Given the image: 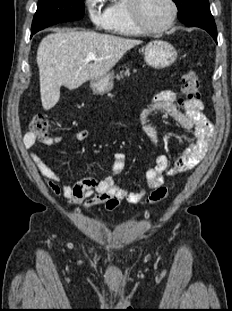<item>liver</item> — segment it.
Segmentation results:
<instances>
[{
	"label": "liver",
	"instance_id": "liver-1",
	"mask_svg": "<svg viewBox=\"0 0 232 311\" xmlns=\"http://www.w3.org/2000/svg\"><path fill=\"white\" fill-rule=\"evenodd\" d=\"M142 41L88 31L62 30L42 39L37 50L40 94L45 110L60 98L61 86L73 90L106 75L124 54ZM88 53L98 60L88 64Z\"/></svg>",
	"mask_w": 232,
	"mask_h": 311
}]
</instances>
